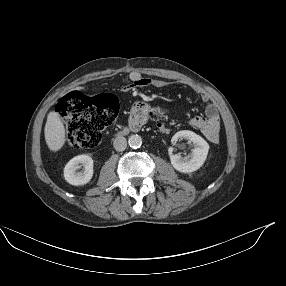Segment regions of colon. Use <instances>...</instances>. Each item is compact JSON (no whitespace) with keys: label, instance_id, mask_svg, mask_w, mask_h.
Listing matches in <instances>:
<instances>
[{"label":"colon","instance_id":"5ec220e1","mask_svg":"<svg viewBox=\"0 0 286 286\" xmlns=\"http://www.w3.org/2000/svg\"><path fill=\"white\" fill-rule=\"evenodd\" d=\"M118 108V100L111 94L87 97L76 91L65 94L56 104V112L66 126L67 142L77 150L90 149L98 144ZM144 119L151 126H166L158 111L148 110ZM201 136L206 143L214 144L221 139L222 131L217 124L209 123L202 128Z\"/></svg>","mask_w":286,"mask_h":286}]
</instances>
